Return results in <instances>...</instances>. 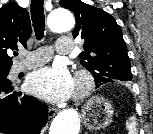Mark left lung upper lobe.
Listing matches in <instances>:
<instances>
[{
    "instance_id": "1",
    "label": "left lung upper lobe",
    "mask_w": 153,
    "mask_h": 134,
    "mask_svg": "<svg viewBox=\"0 0 153 134\" xmlns=\"http://www.w3.org/2000/svg\"><path fill=\"white\" fill-rule=\"evenodd\" d=\"M60 6L75 15L73 37L84 40L80 63L93 74L97 87L113 80H132L126 44L115 19L81 0H60Z\"/></svg>"
}]
</instances>
